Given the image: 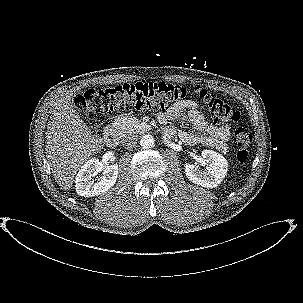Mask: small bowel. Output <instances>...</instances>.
<instances>
[{"mask_svg": "<svg viewBox=\"0 0 303 303\" xmlns=\"http://www.w3.org/2000/svg\"><path fill=\"white\" fill-rule=\"evenodd\" d=\"M157 119L161 124L165 125L164 133L168 137H172L176 133L171 125L172 122L189 120L196 131L205 134L181 131L179 137L184 143L215 148L223 153L228 150L229 127L210 123L202 113L200 105L191 99H184L173 103L165 111L159 112Z\"/></svg>", "mask_w": 303, "mask_h": 303, "instance_id": "c3829d8e", "label": "small bowel"}]
</instances>
